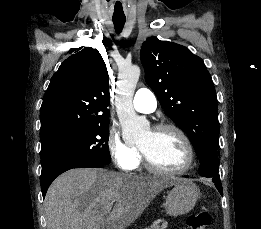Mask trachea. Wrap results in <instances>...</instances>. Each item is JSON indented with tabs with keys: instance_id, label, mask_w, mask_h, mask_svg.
Listing matches in <instances>:
<instances>
[{
	"instance_id": "obj_1",
	"label": "trachea",
	"mask_w": 261,
	"mask_h": 229,
	"mask_svg": "<svg viewBox=\"0 0 261 229\" xmlns=\"http://www.w3.org/2000/svg\"><path fill=\"white\" fill-rule=\"evenodd\" d=\"M125 21H126V17L113 16V23L117 34L121 33Z\"/></svg>"
}]
</instances>
